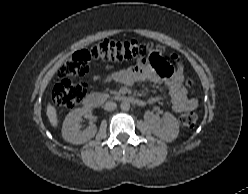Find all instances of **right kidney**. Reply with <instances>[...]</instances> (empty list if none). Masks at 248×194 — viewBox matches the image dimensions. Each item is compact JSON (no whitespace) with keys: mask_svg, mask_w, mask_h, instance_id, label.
Wrapping results in <instances>:
<instances>
[{"mask_svg":"<svg viewBox=\"0 0 248 194\" xmlns=\"http://www.w3.org/2000/svg\"><path fill=\"white\" fill-rule=\"evenodd\" d=\"M89 112L86 108H77L71 111L65 118L62 127L64 140L72 144H83L93 138L97 132L96 125H91L85 130H81V118Z\"/></svg>","mask_w":248,"mask_h":194,"instance_id":"obj_1","label":"right kidney"}]
</instances>
